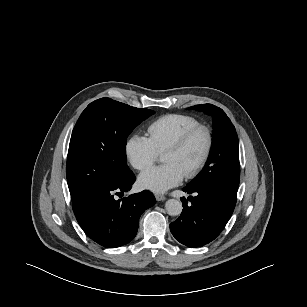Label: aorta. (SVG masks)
<instances>
[{
    "mask_svg": "<svg viewBox=\"0 0 307 307\" xmlns=\"http://www.w3.org/2000/svg\"><path fill=\"white\" fill-rule=\"evenodd\" d=\"M165 208H166L167 214H169L170 216L180 215L183 209L181 201L177 199L167 200L165 203Z\"/></svg>",
    "mask_w": 307,
    "mask_h": 307,
    "instance_id": "762f6f07",
    "label": "aorta"
}]
</instances>
